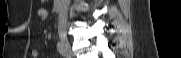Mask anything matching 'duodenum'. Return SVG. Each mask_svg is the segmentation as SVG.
Returning a JSON list of instances; mask_svg holds the SVG:
<instances>
[{
    "label": "duodenum",
    "instance_id": "duodenum-1",
    "mask_svg": "<svg viewBox=\"0 0 181 58\" xmlns=\"http://www.w3.org/2000/svg\"><path fill=\"white\" fill-rule=\"evenodd\" d=\"M54 7L57 12H62L63 7H64V0H55Z\"/></svg>",
    "mask_w": 181,
    "mask_h": 58
}]
</instances>
